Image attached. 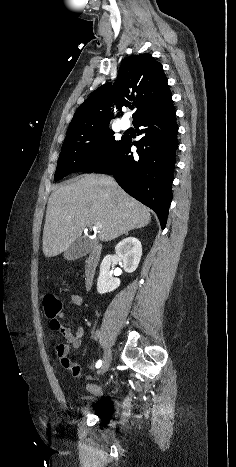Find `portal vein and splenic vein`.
Returning <instances> with one entry per match:
<instances>
[{
    "label": "portal vein and splenic vein",
    "instance_id": "18ae733b",
    "mask_svg": "<svg viewBox=\"0 0 236 467\" xmlns=\"http://www.w3.org/2000/svg\"><path fill=\"white\" fill-rule=\"evenodd\" d=\"M101 228H102V224H101V223H98V224H95V225H94V229H95V230H99V229H101Z\"/></svg>",
    "mask_w": 236,
    "mask_h": 467
}]
</instances>
